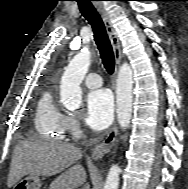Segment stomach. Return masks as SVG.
<instances>
[{"label":"stomach","instance_id":"0dacf381","mask_svg":"<svg viewBox=\"0 0 188 189\" xmlns=\"http://www.w3.org/2000/svg\"><path fill=\"white\" fill-rule=\"evenodd\" d=\"M41 179L39 176L28 175L20 179L13 187V189H40Z\"/></svg>","mask_w":188,"mask_h":189}]
</instances>
